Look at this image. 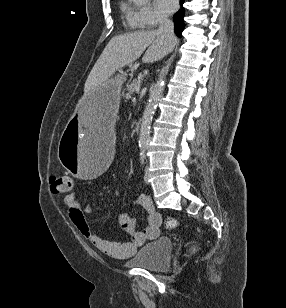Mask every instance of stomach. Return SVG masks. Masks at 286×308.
Here are the masks:
<instances>
[{
  "instance_id": "1",
  "label": "stomach",
  "mask_w": 286,
  "mask_h": 308,
  "mask_svg": "<svg viewBox=\"0 0 286 308\" xmlns=\"http://www.w3.org/2000/svg\"><path fill=\"white\" fill-rule=\"evenodd\" d=\"M101 84L82 98L76 107V118H66L67 130L56 142L60 164L82 182H95L102 168H109L113 152L116 113L126 73Z\"/></svg>"
}]
</instances>
